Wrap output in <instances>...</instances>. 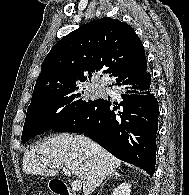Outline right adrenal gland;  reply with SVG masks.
I'll list each match as a JSON object with an SVG mask.
<instances>
[{"instance_id": "obj_1", "label": "right adrenal gland", "mask_w": 189, "mask_h": 195, "mask_svg": "<svg viewBox=\"0 0 189 195\" xmlns=\"http://www.w3.org/2000/svg\"><path fill=\"white\" fill-rule=\"evenodd\" d=\"M119 176H120V174H119L118 172H113L112 174H110V175L107 177V179H105L104 182L101 184V186H100V192L102 191V188H103L104 184H105L108 180H110V179L113 178V177H119Z\"/></svg>"}]
</instances>
